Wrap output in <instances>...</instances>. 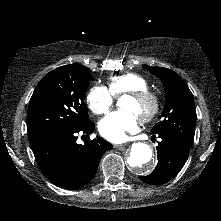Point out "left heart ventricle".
Here are the masks:
<instances>
[{
    "label": "left heart ventricle",
    "mask_w": 221,
    "mask_h": 221,
    "mask_svg": "<svg viewBox=\"0 0 221 221\" xmlns=\"http://www.w3.org/2000/svg\"><path fill=\"white\" fill-rule=\"evenodd\" d=\"M121 106L125 110H129V111L134 112L137 116H140L141 114L145 113L149 108L148 104L138 103L137 101H135L131 97H126L122 101Z\"/></svg>",
    "instance_id": "obj_1"
}]
</instances>
